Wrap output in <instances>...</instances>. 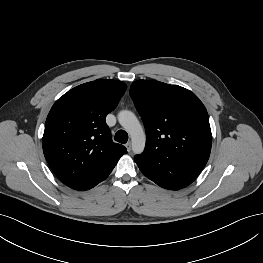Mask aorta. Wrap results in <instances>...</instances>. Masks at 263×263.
<instances>
[{
  "mask_svg": "<svg viewBox=\"0 0 263 263\" xmlns=\"http://www.w3.org/2000/svg\"><path fill=\"white\" fill-rule=\"evenodd\" d=\"M118 121L131 137L133 152L135 154L142 153L145 148L146 136L135 114L129 110H122L118 113Z\"/></svg>",
  "mask_w": 263,
  "mask_h": 263,
  "instance_id": "obj_1",
  "label": "aorta"
}]
</instances>
